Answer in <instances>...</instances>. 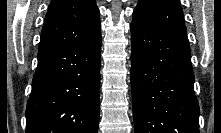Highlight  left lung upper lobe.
I'll use <instances>...</instances> for the list:
<instances>
[{"mask_svg":"<svg viewBox=\"0 0 221 133\" xmlns=\"http://www.w3.org/2000/svg\"><path fill=\"white\" fill-rule=\"evenodd\" d=\"M132 23L187 33L179 0H139Z\"/></svg>","mask_w":221,"mask_h":133,"instance_id":"obj_1","label":"left lung upper lobe"}]
</instances>
